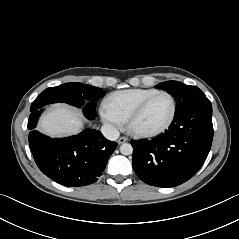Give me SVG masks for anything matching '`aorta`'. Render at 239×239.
Segmentation results:
<instances>
[{
    "label": "aorta",
    "instance_id": "aorta-1",
    "mask_svg": "<svg viewBox=\"0 0 239 239\" xmlns=\"http://www.w3.org/2000/svg\"><path fill=\"white\" fill-rule=\"evenodd\" d=\"M120 152L123 155H131L133 152V148H132L131 144L124 143L120 146Z\"/></svg>",
    "mask_w": 239,
    "mask_h": 239
}]
</instances>
